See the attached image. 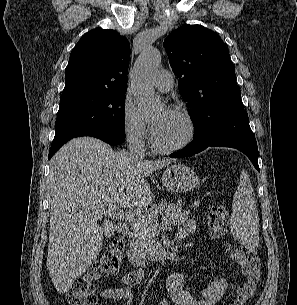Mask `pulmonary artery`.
<instances>
[{
	"label": "pulmonary artery",
	"mask_w": 297,
	"mask_h": 305,
	"mask_svg": "<svg viewBox=\"0 0 297 305\" xmlns=\"http://www.w3.org/2000/svg\"><path fill=\"white\" fill-rule=\"evenodd\" d=\"M154 86L161 92H168L174 84L173 75L165 69L159 70L153 80Z\"/></svg>",
	"instance_id": "1"
}]
</instances>
